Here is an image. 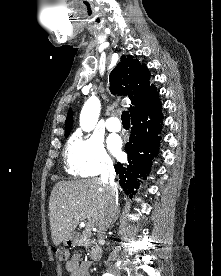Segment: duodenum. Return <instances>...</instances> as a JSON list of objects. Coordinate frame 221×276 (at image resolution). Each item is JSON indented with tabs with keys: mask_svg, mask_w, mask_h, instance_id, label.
I'll use <instances>...</instances> for the list:
<instances>
[{
	"mask_svg": "<svg viewBox=\"0 0 221 276\" xmlns=\"http://www.w3.org/2000/svg\"><path fill=\"white\" fill-rule=\"evenodd\" d=\"M102 250L98 247L93 248L90 251V257L92 260H98L101 257Z\"/></svg>",
	"mask_w": 221,
	"mask_h": 276,
	"instance_id": "410a0bca",
	"label": "duodenum"
}]
</instances>
